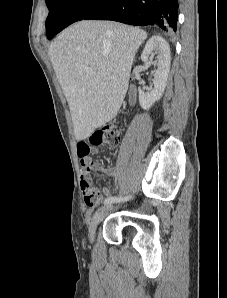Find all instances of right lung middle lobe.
<instances>
[{"label":"right lung middle lobe","instance_id":"right-lung-middle-lobe-1","mask_svg":"<svg viewBox=\"0 0 227 298\" xmlns=\"http://www.w3.org/2000/svg\"><path fill=\"white\" fill-rule=\"evenodd\" d=\"M103 0H46L49 15L46 19L48 39L68 25L82 20Z\"/></svg>","mask_w":227,"mask_h":298}]
</instances>
